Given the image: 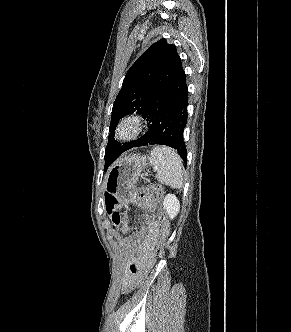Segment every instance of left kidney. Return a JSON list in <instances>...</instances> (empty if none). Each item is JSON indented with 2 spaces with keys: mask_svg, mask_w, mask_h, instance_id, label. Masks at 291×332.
<instances>
[{
  "mask_svg": "<svg viewBox=\"0 0 291 332\" xmlns=\"http://www.w3.org/2000/svg\"><path fill=\"white\" fill-rule=\"evenodd\" d=\"M163 206L170 219H173L179 213L180 202L174 194H167L165 196Z\"/></svg>",
  "mask_w": 291,
  "mask_h": 332,
  "instance_id": "1",
  "label": "left kidney"
}]
</instances>
